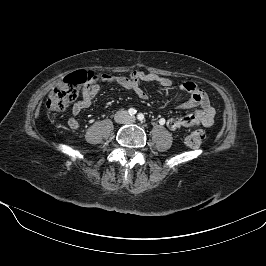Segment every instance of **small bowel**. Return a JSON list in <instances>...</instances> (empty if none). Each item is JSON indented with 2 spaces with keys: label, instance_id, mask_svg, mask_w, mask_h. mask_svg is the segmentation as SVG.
I'll return each instance as SVG.
<instances>
[{
  "label": "small bowel",
  "instance_id": "c3829d8e",
  "mask_svg": "<svg viewBox=\"0 0 266 266\" xmlns=\"http://www.w3.org/2000/svg\"><path fill=\"white\" fill-rule=\"evenodd\" d=\"M108 82L120 85L126 89H131L140 99H147V93L142 89V82L156 83L164 89H169L172 81L165 76L156 73L134 72L130 77L116 76L110 74L96 75L92 83L86 86L82 91V99L76 102L71 108V116L68 119L70 128L77 130L80 123L77 116L91 106L93 99L98 95L99 83ZM181 89L188 92L190 99L180 105L181 109L196 110L182 117H174L167 120L166 125L171 130H177L182 127L204 126L210 127L213 124L215 110L212 107L207 94L191 81L184 82Z\"/></svg>",
  "mask_w": 266,
  "mask_h": 266
}]
</instances>
